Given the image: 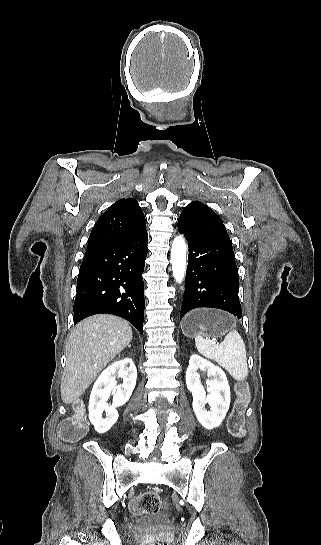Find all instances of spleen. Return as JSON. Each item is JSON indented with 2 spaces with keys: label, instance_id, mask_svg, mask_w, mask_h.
Segmentation results:
<instances>
[{
  "label": "spleen",
  "instance_id": "spleen-1",
  "mask_svg": "<svg viewBox=\"0 0 321 545\" xmlns=\"http://www.w3.org/2000/svg\"><path fill=\"white\" fill-rule=\"evenodd\" d=\"M195 345L203 357L214 359L235 381H245L248 377L245 343L235 329L224 337L220 345H213L201 335H196Z\"/></svg>",
  "mask_w": 321,
  "mask_h": 545
}]
</instances>
